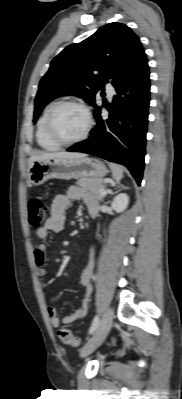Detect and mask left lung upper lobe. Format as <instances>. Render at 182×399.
Returning <instances> with one entry per match:
<instances>
[{"mask_svg": "<svg viewBox=\"0 0 182 399\" xmlns=\"http://www.w3.org/2000/svg\"><path fill=\"white\" fill-rule=\"evenodd\" d=\"M147 61L139 38L129 27L110 23L86 40L67 46L41 79L35 98V122L43 107L62 94L80 95L96 109L95 95L108 80L116 88ZM106 106L105 99L103 100Z\"/></svg>", "mask_w": 182, "mask_h": 399, "instance_id": "5c2ea615", "label": "left lung upper lobe"}]
</instances>
